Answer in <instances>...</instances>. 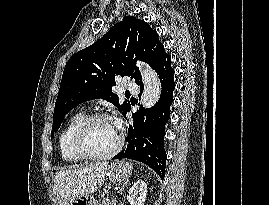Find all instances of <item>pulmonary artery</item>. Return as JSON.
Segmentation results:
<instances>
[{
	"label": "pulmonary artery",
	"mask_w": 269,
	"mask_h": 205,
	"mask_svg": "<svg viewBox=\"0 0 269 205\" xmlns=\"http://www.w3.org/2000/svg\"><path fill=\"white\" fill-rule=\"evenodd\" d=\"M126 88L132 92H137L138 91V87H137V84L130 80V79H127V82H126Z\"/></svg>",
	"instance_id": "1"
}]
</instances>
